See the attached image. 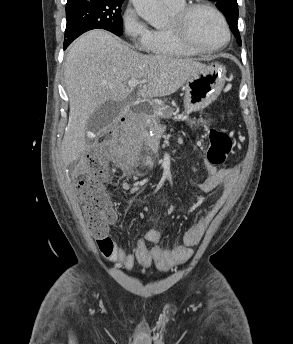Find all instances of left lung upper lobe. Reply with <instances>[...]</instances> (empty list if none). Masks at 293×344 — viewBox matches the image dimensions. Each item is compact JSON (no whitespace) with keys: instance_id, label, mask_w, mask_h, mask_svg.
<instances>
[{"instance_id":"obj_1","label":"left lung upper lobe","mask_w":293,"mask_h":344,"mask_svg":"<svg viewBox=\"0 0 293 344\" xmlns=\"http://www.w3.org/2000/svg\"><path fill=\"white\" fill-rule=\"evenodd\" d=\"M216 2L217 8L226 16L230 29L241 45V38L237 27L238 22V4L237 0H211Z\"/></svg>"}]
</instances>
